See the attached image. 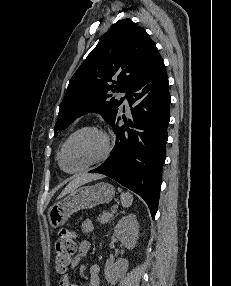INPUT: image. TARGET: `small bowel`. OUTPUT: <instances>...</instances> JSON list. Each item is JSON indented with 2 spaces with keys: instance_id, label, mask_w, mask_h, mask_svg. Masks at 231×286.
Masks as SVG:
<instances>
[{
  "instance_id": "c3829d8e",
  "label": "small bowel",
  "mask_w": 231,
  "mask_h": 286,
  "mask_svg": "<svg viewBox=\"0 0 231 286\" xmlns=\"http://www.w3.org/2000/svg\"><path fill=\"white\" fill-rule=\"evenodd\" d=\"M94 225L90 219H86L81 224V231L86 238L90 237L93 233ZM90 249V242L87 239H84L79 246L78 254L75 256L72 262V268L78 265L80 260L85 257ZM99 272L100 267L98 264L94 263L90 267V279L88 286H99L100 279H99ZM59 286H79L77 283H74L70 280L68 275H64L61 277L59 281Z\"/></svg>"
}]
</instances>
